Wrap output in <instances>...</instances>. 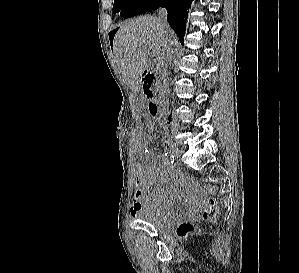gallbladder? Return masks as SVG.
<instances>
[{"label":"gallbladder","instance_id":"bac80fb5","mask_svg":"<svg viewBox=\"0 0 299 273\" xmlns=\"http://www.w3.org/2000/svg\"><path fill=\"white\" fill-rule=\"evenodd\" d=\"M154 68H155L154 65H150L151 70H154Z\"/></svg>","mask_w":299,"mask_h":273}]
</instances>
